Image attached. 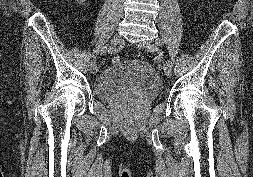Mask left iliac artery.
Here are the masks:
<instances>
[{
  "mask_svg": "<svg viewBox=\"0 0 253 177\" xmlns=\"http://www.w3.org/2000/svg\"><path fill=\"white\" fill-rule=\"evenodd\" d=\"M163 43H164V42H163L162 40H160V39H158V40L156 41V44H157L158 46H161ZM156 56L158 57V58L156 59V62H157V63L165 64L166 66H171V65H172V62H171L170 59H163V57L165 56V53H164V52H157V53H156Z\"/></svg>",
  "mask_w": 253,
  "mask_h": 177,
  "instance_id": "obj_1",
  "label": "left iliac artery"
}]
</instances>
